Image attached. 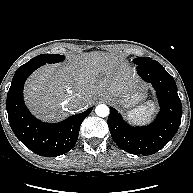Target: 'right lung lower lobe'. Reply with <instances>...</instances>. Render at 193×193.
Here are the masks:
<instances>
[{
	"label": "right lung lower lobe",
	"mask_w": 193,
	"mask_h": 193,
	"mask_svg": "<svg viewBox=\"0 0 193 193\" xmlns=\"http://www.w3.org/2000/svg\"><path fill=\"white\" fill-rule=\"evenodd\" d=\"M40 66L42 64L25 63L16 71L7 93L6 108L10 126L16 137L34 153L55 157L74 147L80 125L92 109L55 124L36 119L24 104L23 87L27 77Z\"/></svg>",
	"instance_id": "1"
}]
</instances>
